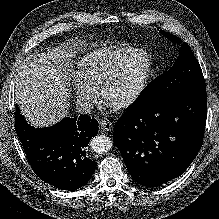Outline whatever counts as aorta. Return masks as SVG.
<instances>
[{"mask_svg":"<svg viewBox=\"0 0 219 219\" xmlns=\"http://www.w3.org/2000/svg\"><path fill=\"white\" fill-rule=\"evenodd\" d=\"M112 145L111 139L105 135L95 136L90 141L91 149L98 154L108 152Z\"/></svg>","mask_w":219,"mask_h":219,"instance_id":"aorta-1","label":"aorta"}]
</instances>
